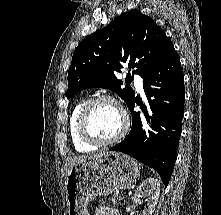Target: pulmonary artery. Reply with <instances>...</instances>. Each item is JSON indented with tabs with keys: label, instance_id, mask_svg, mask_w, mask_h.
Returning a JSON list of instances; mask_svg holds the SVG:
<instances>
[{
	"label": "pulmonary artery",
	"instance_id": "1",
	"mask_svg": "<svg viewBox=\"0 0 221 215\" xmlns=\"http://www.w3.org/2000/svg\"><path fill=\"white\" fill-rule=\"evenodd\" d=\"M135 87L138 92L140 93L143 92V82H142V79L138 76H135Z\"/></svg>",
	"mask_w": 221,
	"mask_h": 215
}]
</instances>
